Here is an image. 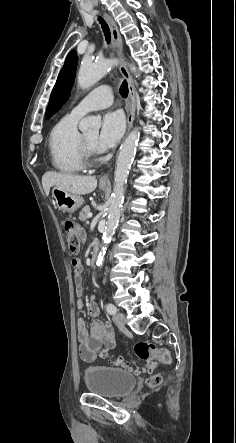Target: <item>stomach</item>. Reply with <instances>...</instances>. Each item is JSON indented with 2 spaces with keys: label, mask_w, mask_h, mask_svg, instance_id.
Wrapping results in <instances>:
<instances>
[{
  "label": "stomach",
  "mask_w": 236,
  "mask_h": 443,
  "mask_svg": "<svg viewBox=\"0 0 236 443\" xmlns=\"http://www.w3.org/2000/svg\"><path fill=\"white\" fill-rule=\"evenodd\" d=\"M101 189L105 190V187H101ZM52 196L54 204L58 209L68 213H74L84 202L80 195L71 194L58 187L53 188Z\"/></svg>",
  "instance_id": "0dacf381"
}]
</instances>
